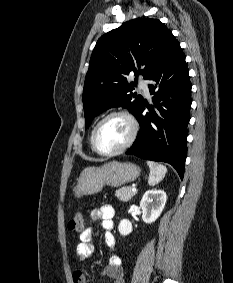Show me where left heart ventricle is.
<instances>
[{
	"label": "left heart ventricle",
	"instance_id": "obj_1",
	"mask_svg": "<svg viewBox=\"0 0 233 283\" xmlns=\"http://www.w3.org/2000/svg\"><path fill=\"white\" fill-rule=\"evenodd\" d=\"M131 132L128 120L114 116L103 123L97 134V146L104 152L117 150L126 143Z\"/></svg>",
	"mask_w": 233,
	"mask_h": 283
}]
</instances>
